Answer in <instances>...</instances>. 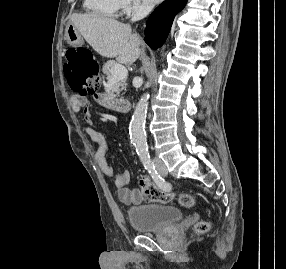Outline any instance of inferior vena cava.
<instances>
[{
  "mask_svg": "<svg viewBox=\"0 0 286 269\" xmlns=\"http://www.w3.org/2000/svg\"><path fill=\"white\" fill-rule=\"evenodd\" d=\"M151 9H152V5H142V6L137 7L135 9L134 15L131 20L135 22V21L143 19L144 17L148 15Z\"/></svg>",
  "mask_w": 286,
  "mask_h": 269,
  "instance_id": "obj_1",
  "label": "inferior vena cava"
}]
</instances>
